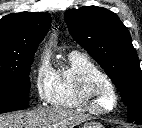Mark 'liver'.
I'll use <instances>...</instances> for the list:
<instances>
[{
    "mask_svg": "<svg viewBox=\"0 0 142 128\" xmlns=\"http://www.w3.org/2000/svg\"><path fill=\"white\" fill-rule=\"evenodd\" d=\"M80 112L52 107L0 115V128H74L88 120Z\"/></svg>",
    "mask_w": 142,
    "mask_h": 128,
    "instance_id": "obj_1",
    "label": "liver"
}]
</instances>
